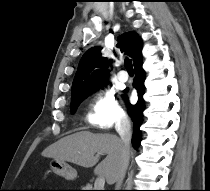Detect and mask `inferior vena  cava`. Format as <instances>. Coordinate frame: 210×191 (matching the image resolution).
Listing matches in <instances>:
<instances>
[{
	"label": "inferior vena cava",
	"instance_id": "obj_1",
	"mask_svg": "<svg viewBox=\"0 0 210 191\" xmlns=\"http://www.w3.org/2000/svg\"><path fill=\"white\" fill-rule=\"evenodd\" d=\"M115 128L120 135L122 143L119 169L115 181L116 190H119L122 186V182L125 177L130 159L131 124L128 116H121V118L117 121Z\"/></svg>",
	"mask_w": 210,
	"mask_h": 191
}]
</instances>
